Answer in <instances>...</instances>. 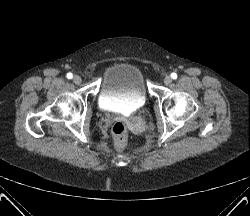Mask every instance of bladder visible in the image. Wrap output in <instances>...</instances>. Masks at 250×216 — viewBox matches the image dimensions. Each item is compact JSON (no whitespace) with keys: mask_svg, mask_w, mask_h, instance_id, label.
Wrapping results in <instances>:
<instances>
[{"mask_svg":"<svg viewBox=\"0 0 250 216\" xmlns=\"http://www.w3.org/2000/svg\"><path fill=\"white\" fill-rule=\"evenodd\" d=\"M146 100V84L139 68L129 63H117L106 70L98 98L101 108L116 112H134Z\"/></svg>","mask_w":250,"mask_h":216,"instance_id":"bladder-1","label":"bladder"}]
</instances>
